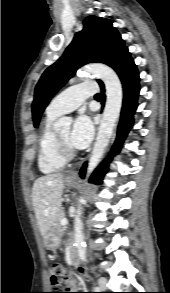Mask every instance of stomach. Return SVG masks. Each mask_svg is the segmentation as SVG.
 <instances>
[{"label":"stomach","instance_id":"stomach-1","mask_svg":"<svg viewBox=\"0 0 170 293\" xmlns=\"http://www.w3.org/2000/svg\"><path fill=\"white\" fill-rule=\"evenodd\" d=\"M65 183L67 186L70 187L76 183V178L71 177V176H67L65 178ZM43 239H44L45 247L49 250H56L61 245V238L55 231L49 230L44 235Z\"/></svg>","mask_w":170,"mask_h":293}]
</instances>
